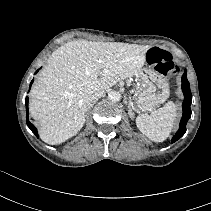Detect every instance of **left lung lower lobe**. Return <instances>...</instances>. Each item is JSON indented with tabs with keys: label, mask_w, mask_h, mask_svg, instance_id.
Segmentation results:
<instances>
[{
	"label": "left lung lower lobe",
	"mask_w": 211,
	"mask_h": 211,
	"mask_svg": "<svg viewBox=\"0 0 211 211\" xmlns=\"http://www.w3.org/2000/svg\"><path fill=\"white\" fill-rule=\"evenodd\" d=\"M182 91L184 94V102L182 104L183 107V115L180 121L179 130L177 131L176 135L172 138V142H176L178 139H180L186 132V124L189 118L191 117V100H192V94L190 91V84L187 80V72L184 71V74L182 76Z\"/></svg>",
	"instance_id": "left-lung-lower-lobe-1"
}]
</instances>
